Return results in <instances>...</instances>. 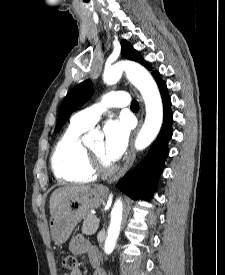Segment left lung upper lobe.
<instances>
[{
	"mask_svg": "<svg viewBox=\"0 0 225 275\" xmlns=\"http://www.w3.org/2000/svg\"><path fill=\"white\" fill-rule=\"evenodd\" d=\"M121 54L129 59L137 61L147 67V63L141 55L125 40L121 42ZM156 71H153L154 74ZM92 83L87 80L75 86L64 98L58 116V122L55 131H59L64 125L70 114L79 106L84 104L91 96Z\"/></svg>",
	"mask_w": 225,
	"mask_h": 275,
	"instance_id": "left-lung-upper-lobe-1",
	"label": "left lung upper lobe"
}]
</instances>
